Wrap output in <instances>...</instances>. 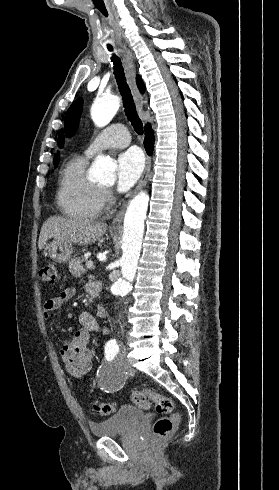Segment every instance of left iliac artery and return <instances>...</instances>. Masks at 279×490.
Masks as SVG:
<instances>
[{
    "instance_id": "obj_1",
    "label": "left iliac artery",
    "mask_w": 279,
    "mask_h": 490,
    "mask_svg": "<svg viewBox=\"0 0 279 490\" xmlns=\"http://www.w3.org/2000/svg\"><path fill=\"white\" fill-rule=\"evenodd\" d=\"M105 353L107 355H113L115 356L118 353V346L116 345L115 342H110L106 347H105Z\"/></svg>"
}]
</instances>
